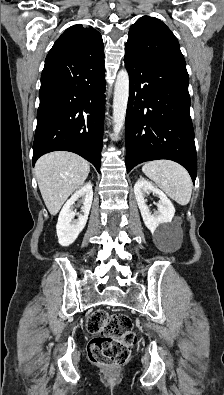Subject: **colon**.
Masks as SVG:
<instances>
[{
	"instance_id": "5ec220e1",
	"label": "colon",
	"mask_w": 224,
	"mask_h": 395,
	"mask_svg": "<svg viewBox=\"0 0 224 395\" xmlns=\"http://www.w3.org/2000/svg\"><path fill=\"white\" fill-rule=\"evenodd\" d=\"M86 327L95 335L88 345V356L94 364L116 367L129 360L136 338L128 316L96 310L87 319Z\"/></svg>"
}]
</instances>
